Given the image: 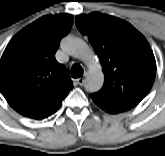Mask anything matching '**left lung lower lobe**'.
<instances>
[{
	"mask_svg": "<svg viewBox=\"0 0 165 156\" xmlns=\"http://www.w3.org/2000/svg\"><path fill=\"white\" fill-rule=\"evenodd\" d=\"M92 97V100L93 102L99 106L102 110L108 112V113H111V114H117V113H120V112H123L113 106H111L110 104L104 102L103 100H101L100 98L94 96V95H91Z\"/></svg>",
	"mask_w": 165,
	"mask_h": 156,
	"instance_id": "1",
	"label": "left lung lower lobe"
}]
</instances>
